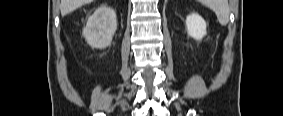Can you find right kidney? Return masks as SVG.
<instances>
[{
    "label": "right kidney",
    "instance_id": "ca27d5eb",
    "mask_svg": "<svg viewBox=\"0 0 283 116\" xmlns=\"http://www.w3.org/2000/svg\"><path fill=\"white\" fill-rule=\"evenodd\" d=\"M116 29L115 11L101 6L89 17L82 34L91 47L104 49L111 45Z\"/></svg>",
    "mask_w": 283,
    "mask_h": 116
}]
</instances>
